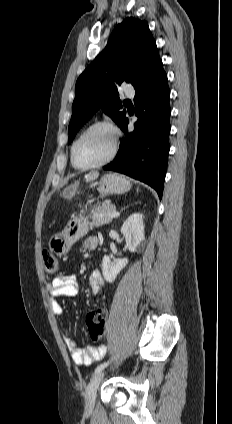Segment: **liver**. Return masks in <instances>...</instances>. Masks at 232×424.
Returning a JSON list of instances; mask_svg holds the SVG:
<instances>
[{"mask_svg":"<svg viewBox=\"0 0 232 424\" xmlns=\"http://www.w3.org/2000/svg\"><path fill=\"white\" fill-rule=\"evenodd\" d=\"M98 177H99V172L94 171V172H90L89 174H87L85 179H86V182H90V181L97 179ZM74 191H75L74 189H68L66 193L71 197L73 195Z\"/></svg>","mask_w":232,"mask_h":424,"instance_id":"obj_1","label":"liver"}]
</instances>
